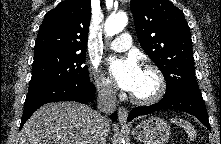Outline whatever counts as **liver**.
I'll use <instances>...</instances> for the list:
<instances>
[{"label": "liver", "mask_w": 221, "mask_h": 144, "mask_svg": "<svg viewBox=\"0 0 221 144\" xmlns=\"http://www.w3.org/2000/svg\"><path fill=\"white\" fill-rule=\"evenodd\" d=\"M97 112L76 102L48 103L21 130L19 144H92ZM110 133V123L104 125Z\"/></svg>", "instance_id": "6515ba94"}]
</instances>
